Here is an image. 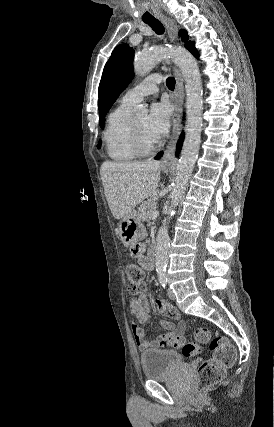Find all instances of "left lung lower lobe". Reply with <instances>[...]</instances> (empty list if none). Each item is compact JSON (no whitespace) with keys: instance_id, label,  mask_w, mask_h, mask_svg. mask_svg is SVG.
Masks as SVG:
<instances>
[{"instance_id":"left-lung-lower-lobe-1","label":"left lung lower lobe","mask_w":274,"mask_h":427,"mask_svg":"<svg viewBox=\"0 0 274 427\" xmlns=\"http://www.w3.org/2000/svg\"><path fill=\"white\" fill-rule=\"evenodd\" d=\"M194 56H196V57H198V52H197V50L195 49V47H193L191 50H189ZM183 139H184V135L183 134H181V136H180V139H179V141H178V144H177V152H176V156H178V154H179V152H180V149H181V146H182V143H183ZM162 152L161 153H159L156 157H155V159H159L161 156H162Z\"/></svg>"}]
</instances>
